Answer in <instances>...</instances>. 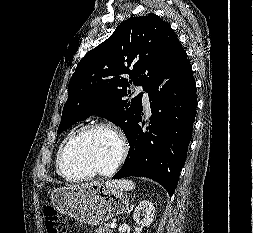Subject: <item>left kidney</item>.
Masks as SVG:
<instances>
[{
  "instance_id": "1",
  "label": "left kidney",
  "mask_w": 253,
  "mask_h": 233,
  "mask_svg": "<svg viewBox=\"0 0 253 233\" xmlns=\"http://www.w3.org/2000/svg\"><path fill=\"white\" fill-rule=\"evenodd\" d=\"M154 206L153 203L143 200L138 204L133 213L134 221L142 227H149L154 219Z\"/></svg>"
}]
</instances>
